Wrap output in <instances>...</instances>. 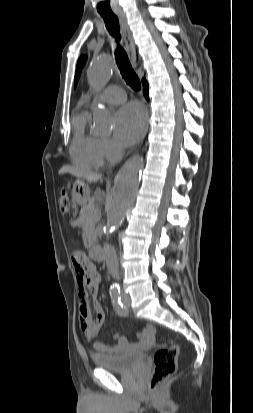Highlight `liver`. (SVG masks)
Returning a JSON list of instances; mask_svg holds the SVG:
<instances>
[{
  "label": "liver",
  "mask_w": 253,
  "mask_h": 413,
  "mask_svg": "<svg viewBox=\"0 0 253 413\" xmlns=\"http://www.w3.org/2000/svg\"><path fill=\"white\" fill-rule=\"evenodd\" d=\"M65 173H69L72 174L73 176L77 177L78 179H84L87 180L89 183L92 182H97L100 178L101 175L100 174H95V173H91V172H87L84 170H81L79 168L76 167H72V166H63L60 170H59V174H65ZM83 182V181H82ZM84 183V182H83Z\"/></svg>",
  "instance_id": "6515ba94"
}]
</instances>
